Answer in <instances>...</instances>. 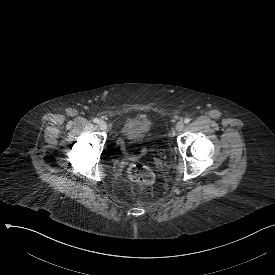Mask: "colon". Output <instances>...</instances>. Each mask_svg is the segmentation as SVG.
<instances>
[{
    "mask_svg": "<svg viewBox=\"0 0 275 275\" xmlns=\"http://www.w3.org/2000/svg\"><path fill=\"white\" fill-rule=\"evenodd\" d=\"M128 177L144 188L150 187L154 182L153 172L143 165H131L128 168Z\"/></svg>",
    "mask_w": 275,
    "mask_h": 275,
    "instance_id": "1",
    "label": "colon"
}]
</instances>
